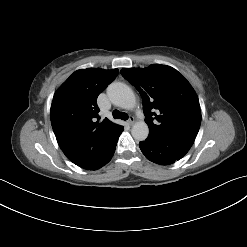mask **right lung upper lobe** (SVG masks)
<instances>
[{
  "mask_svg": "<svg viewBox=\"0 0 247 247\" xmlns=\"http://www.w3.org/2000/svg\"><path fill=\"white\" fill-rule=\"evenodd\" d=\"M118 70L87 68L75 71L56 91L50 110L53 131L73 163L89 155L93 143L117 124L100 121L98 95L116 78Z\"/></svg>",
  "mask_w": 247,
  "mask_h": 247,
  "instance_id": "cb5924a9",
  "label": "right lung upper lobe"
}]
</instances>
